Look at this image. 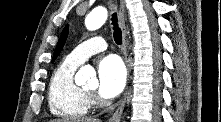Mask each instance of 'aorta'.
Returning <instances> with one entry per match:
<instances>
[{"instance_id":"762f6f07","label":"aorta","mask_w":221,"mask_h":122,"mask_svg":"<svg viewBox=\"0 0 221 122\" xmlns=\"http://www.w3.org/2000/svg\"><path fill=\"white\" fill-rule=\"evenodd\" d=\"M107 10L103 7H97L92 10L85 19V26L88 30L93 31L99 29L107 20ZM77 82L93 85L96 79V73L90 66H83L77 73Z\"/></svg>"}]
</instances>
